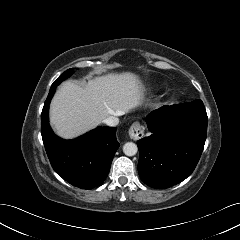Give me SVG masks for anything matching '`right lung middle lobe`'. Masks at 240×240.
Masks as SVG:
<instances>
[{
  "label": "right lung middle lobe",
  "instance_id": "dd1d6c3e",
  "mask_svg": "<svg viewBox=\"0 0 240 240\" xmlns=\"http://www.w3.org/2000/svg\"><path fill=\"white\" fill-rule=\"evenodd\" d=\"M74 73V68L68 69L67 71H65L51 86V89H55L60 83L61 81L65 80L66 78H68L69 76H71Z\"/></svg>",
  "mask_w": 240,
  "mask_h": 240
}]
</instances>
